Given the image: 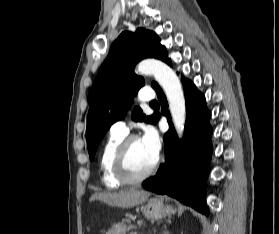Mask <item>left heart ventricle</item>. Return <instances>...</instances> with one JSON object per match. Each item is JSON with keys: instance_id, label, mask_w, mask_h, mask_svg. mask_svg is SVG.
I'll use <instances>...</instances> for the list:
<instances>
[{"instance_id": "obj_1", "label": "left heart ventricle", "mask_w": 279, "mask_h": 234, "mask_svg": "<svg viewBox=\"0 0 279 234\" xmlns=\"http://www.w3.org/2000/svg\"><path fill=\"white\" fill-rule=\"evenodd\" d=\"M156 156L141 139L132 142L128 154V167L134 174L144 173L156 160Z\"/></svg>"}]
</instances>
